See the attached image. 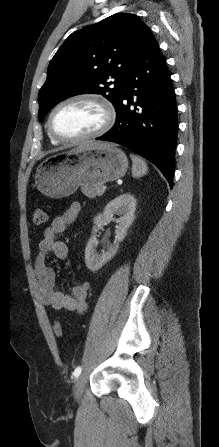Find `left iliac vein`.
<instances>
[{"instance_id":"4c4485c4","label":"left iliac vein","mask_w":219,"mask_h":447,"mask_svg":"<svg viewBox=\"0 0 219 447\" xmlns=\"http://www.w3.org/2000/svg\"><path fill=\"white\" fill-rule=\"evenodd\" d=\"M85 383H86V376L85 374H82L77 379L74 388V396L77 400L81 399L83 396Z\"/></svg>"}]
</instances>
